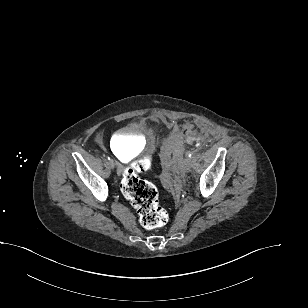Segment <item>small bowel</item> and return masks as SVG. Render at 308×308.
<instances>
[{
	"label": "small bowel",
	"instance_id": "c3829d8e",
	"mask_svg": "<svg viewBox=\"0 0 308 308\" xmlns=\"http://www.w3.org/2000/svg\"><path fill=\"white\" fill-rule=\"evenodd\" d=\"M184 128H186L188 131H192L193 126L191 124H186V125H184ZM98 138L101 139L100 136Z\"/></svg>",
	"mask_w": 308,
	"mask_h": 308
}]
</instances>
